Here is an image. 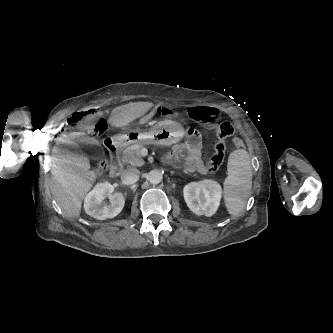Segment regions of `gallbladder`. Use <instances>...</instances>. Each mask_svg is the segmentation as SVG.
<instances>
[{
    "label": "gallbladder",
    "instance_id": "obj_1",
    "mask_svg": "<svg viewBox=\"0 0 333 333\" xmlns=\"http://www.w3.org/2000/svg\"><path fill=\"white\" fill-rule=\"evenodd\" d=\"M74 140L78 144L84 146L87 149V151L89 152V154L91 155V157L94 159L97 158L99 155L103 154L99 142L93 137H89L85 134H81V135L76 136L74 138Z\"/></svg>",
    "mask_w": 333,
    "mask_h": 333
}]
</instances>
